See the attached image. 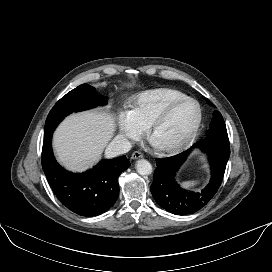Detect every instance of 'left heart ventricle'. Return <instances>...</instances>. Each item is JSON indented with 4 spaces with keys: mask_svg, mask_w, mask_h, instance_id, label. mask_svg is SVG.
I'll return each mask as SVG.
<instances>
[{
    "mask_svg": "<svg viewBox=\"0 0 272 272\" xmlns=\"http://www.w3.org/2000/svg\"><path fill=\"white\" fill-rule=\"evenodd\" d=\"M198 115L197 106L186 102L174 109L155 134L157 145L169 146L184 140L193 128Z\"/></svg>",
    "mask_w": 272,
    "mask_h": 272,
    "instance_id": "obj_1",
    "label": "left heart ventricle"
}]
</instances>
